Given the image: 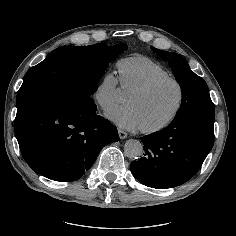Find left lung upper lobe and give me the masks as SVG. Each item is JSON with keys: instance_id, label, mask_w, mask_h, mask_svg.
Listing matches in <instances>:
<instances>
[{"instance_id": "left-lung-upper-lobe-1", "label": "left lung upper lobe", "mask_w": 236, "mask_h": 236, "mask_svg": "<svg viewBox=\"0 0 236 236\" xmlns=\"http://www.w3.org/2000/svg\"><path fill=\"white\" fill-rule=\"evenodd\" d=\"M151 49L169 61L172 72L181 87L182 103L173 121L192 116L214 118L215 107L207 84L190 69L187 61L177 53H169L154 47Z\"/></svg>"}]
</instances>
